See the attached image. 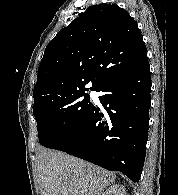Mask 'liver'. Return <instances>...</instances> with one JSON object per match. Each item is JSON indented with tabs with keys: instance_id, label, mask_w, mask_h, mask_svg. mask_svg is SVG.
Listing matches in <instances>:
<instances>
[{
	"instance_id": "6515ba94",
	"label": "liver",
	"mask_w": 178,
	"mask_h": 195,
	"mask_svg": "<svg viewBox=\"0 0 178 195\" xmlns=\"http://www.w3.org/2000/svg\"><path fill=\"white\" fill-rule=\"evenodd\" d=\"M37 174L41 195H100L115 180L112 172L46 149L37 157Z\"/></svg>"
}]
</instances>
